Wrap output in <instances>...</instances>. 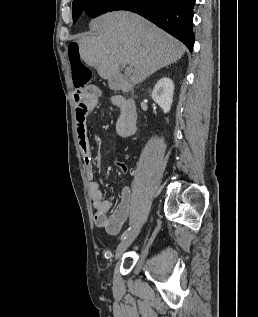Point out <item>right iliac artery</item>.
<instances>
[{
	"instance_id": "obj_1",
	"label": "right iliac artery",
	"mask_w": 258,
	"mask_h": 317,
	"mask_svg": "<svg viewBox=\"0 0 258 317\" xmlns=\"http://www.w3.org/2000/svg\"><path fill=\"white\" fill-rule=\"evenodd\" d=\"M130 230H131V227H129L127 230L123 232V234L121 235V240H124L126 238Z\"/></svg>"
}]
</instances>
